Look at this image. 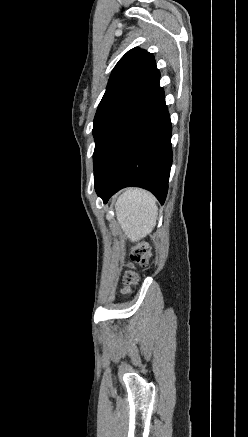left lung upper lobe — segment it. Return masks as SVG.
<instances>
[{"label": "left lung upper lobe", "instance_id": "5c2ea615", "mask_svg": "<svg viewBox=\"0 0 248 437\" xmlns=\"http://www.w3.org/2000/svg\"><path fill=\"white\" fill-rule=\"evenodd\" d=\"M159 80L153 54L140 48L129 50L116 64L94 118V177L115 131L160 88Z\"/></svg>", "mask_w": 248, "mask_h": 437}]
</instances>
